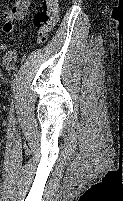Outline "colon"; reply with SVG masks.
Wrapping results in <instances>:
<instances>
[{
	"label": "colon",
	"instance_id": "1",
	"mask_svg": "<svg viewBox=\"0 0 123 201\" xmlns=\"http://www.w3.org/2000/svg\"><path fill=\"white\" fill-rule=\"evenodd\" d=\"M58 0H43L41 8L34 15V24L37 28L36 43L44 44L48 34L54 29L58 20ZM4 46L0 43V49Z\"/></svg>",
	"mask_w": 123,
	"mask_h": 201
}]
</instances>
